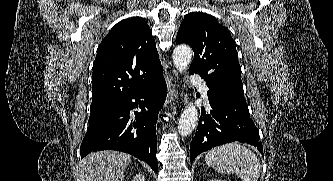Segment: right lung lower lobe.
<instances>
[{
    "instance_id": "98d812e1",
    "label": "right lung lower lobe",
    "mask_w": 333,
    "mask_h": 181,
    "mask_svg": "<svg viewBox=\"0 0 333 181\" xmlns=\"http://www.w3.org/2000/svg\"><path fill=\"white\" fill-rule=\"evenodd\" d=\"M167 95L164 78L154 85L129 94L90 115L80 147L81 158L100 150H117L145 161L157 173L156 122ZM135 99V102L132 100ZM142 99V100H141ZM136 107L133 119L129 111Z\"/></svg>"
}]
</instances>
